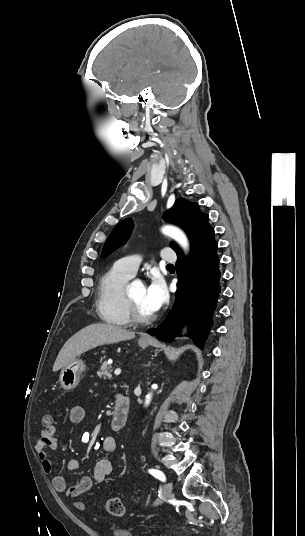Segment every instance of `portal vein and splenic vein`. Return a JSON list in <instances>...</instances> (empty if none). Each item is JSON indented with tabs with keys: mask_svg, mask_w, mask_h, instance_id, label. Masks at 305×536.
Segmentation results:
<instances>
[{
	"mask_svg": "<svg viewBox=\"0 0 305 536\" xmlns=\"http://www.w3.org/2000/svg\"><path fill=\"white\" fill-rule=\"evenodd\" d=\"M108 364H109V362H108ZM114 374H115V376H119V374H121L120 368H117V370H115Z\"/></svg>",
	"mask_w": 305,
	"mask_h": 536,
	"instance_id": "1",
	"label": "portal vein and splenic vein"
}]
</instances>
